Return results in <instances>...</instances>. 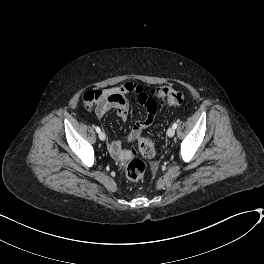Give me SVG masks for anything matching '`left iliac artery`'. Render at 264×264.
Segmentation results:
<instances>
[{
    "label": "left iliac artery",
    "instance_id": "left-iliac-artery-1",
    "mask_svg": "<svg viewBox=\"0 0 264 264\" xmlns=\"http://www.w3.org/2000/svg\"><path fill=\"white\" fill-rule=\"evenodd\" d=\"M173 128H175V129L177 128V123L173 124Z\"/></svg>",
    "mask_w": 264,
    "mask_h": 264
}]
</instances>
